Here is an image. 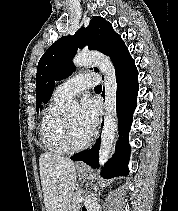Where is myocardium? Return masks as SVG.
Instances as JSON below:
<instances>
[{
    "label": "myocardium",
    "instance_id": "1",
    "mask_svg": "<svg viewBox=\"0 0 178 211\" xmlns=\"http://www.w3.org/2000/svg\"><path fill=\"white\" fill-rule=\"evenodd\" d=\"M62 128H63V132H62L63 144L71 152L83 150L89 147L93 142V135L91 134L84 143L82 144L74 143L67 117H64L63 119Z\"/></svg>",
    "mask_w": 178,
    "mask_h": 211
}]
</instances>
